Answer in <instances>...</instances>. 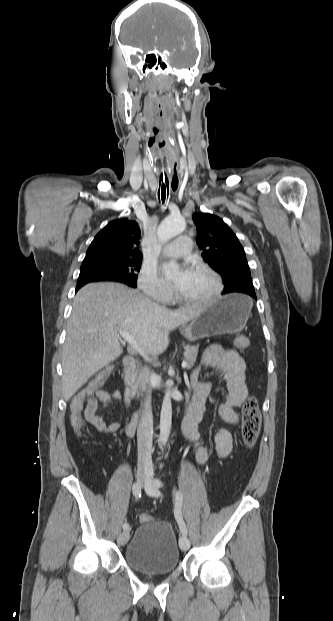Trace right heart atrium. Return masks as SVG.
Listing matches in <instances>:
<instances>
[{"label": "right heart atrium", "instance_id": "obj_1", "mask_svg": "<svg viewBox=\"0 0 333 621\" xmlns=\"http://www.w3.org/2000/svg\"><path fill=\"white\" fill-rule=\"evenodd\" d=\"M139 289L149 298L167 303L172 298L171 288L158 276L157 271L150 267L144 266L138 277Z\"/></svg>", "mask_w": 333, "mask_h": 621}]
</instances>
